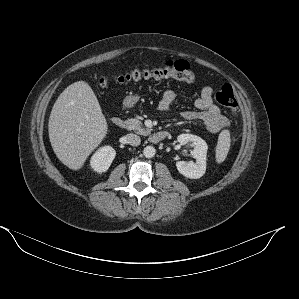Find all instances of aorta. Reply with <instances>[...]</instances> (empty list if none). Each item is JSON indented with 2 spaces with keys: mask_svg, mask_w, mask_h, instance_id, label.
<instances>
[{
  "mask_svg": "<svg viewBox=\"0 0 299 299\" xmlns=\"http://www.w3.org/2000/svg\"><path fill=\"white\" fill-rule=\"evenodd\" d=\"M156 154V149L153 147V146H146L144 149H143V155L146 157V158H152L154 157Z\"/></svg>",
  "mask_w": 299,
  "mask_h": 299,
  "instance_id": "1",
  "label": "aorta"
}]
</instances>
